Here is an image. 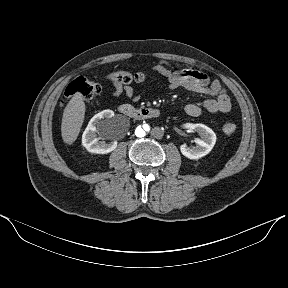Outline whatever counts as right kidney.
<instances>
[{
  "instance_id": "1",
  "label": "right kidney",
  "mask_w": 288,
  "mask_h": 288,
  "mask_svg": "<svg viewBox=\"0 0 288 288\" xmlns=\"http://www.w3.org/2000/svg\"><path fill=\"white\" fill-rule=\"evenodd\" d=\"M114 113L111 110H104L91 118L82 135V144L87 151L96 154H107L117 147V142L100 141L106 135L105 123ZM97 134L99 137H97Z\"/></svg>"
}]
</instances>
